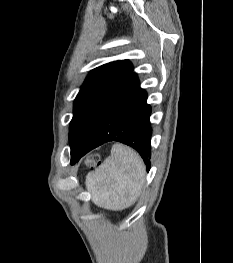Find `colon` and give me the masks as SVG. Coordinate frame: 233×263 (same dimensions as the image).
<instances>
[{"instance_id":"1","label":"colon","mask_w":233,"mask_h":263,"mask_svg":"<svg viewBox=\"0 0 233 263\" xmlns=\"http://www.w3.org/2000/svg\"><path fill=\"white\" fill-rule=\"evenodd\" d=\"M97 161H99V156L98 155H93V156L90 157V162L91 163H95Z\"/></svg>"}]
</instances>
